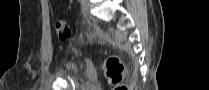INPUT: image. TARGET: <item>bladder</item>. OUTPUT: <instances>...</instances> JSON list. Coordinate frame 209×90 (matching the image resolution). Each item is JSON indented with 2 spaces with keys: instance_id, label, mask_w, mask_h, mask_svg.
<instances>
[{
  "instance_id": "bladder-1",
  "label": "bladder",
  "mask_w": 209,
  "mask_h": 90,
  "mask_svg": "<svg viewBox=\"0 0 209 90\" xmlns=\"http://www.w3.org/2000/svg\"><path fill=\"white\" fill-rule=\"evenodd\" d=\"M65 68L69 72V74L74 77L78 76L81 71L80 65L76 63H67Z\"/></svg>"
}]
</instances>
